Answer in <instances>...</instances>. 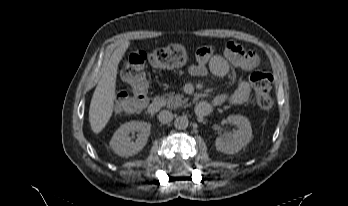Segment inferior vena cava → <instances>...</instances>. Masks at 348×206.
I'll list each match as a JSON object with an SVG mask.
<instances>
[{
	"label": "inferior vena cava",
	"mask_w": 348,
	"mask_h": 206,
	"mask_svg": "<svg viewBox=\"0 0 348 206\" xmlns=\"http://www.w3.org/2000/svg\"><path fill=\"white\" fill-rule=\"evenodd\" d=\"M158 120L162 124H167L173 120V113L169 110H162L158 114Z\"/></svg>",
	"instance_id": "obj_1"
}]
</instances>
